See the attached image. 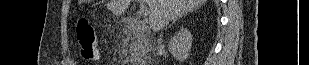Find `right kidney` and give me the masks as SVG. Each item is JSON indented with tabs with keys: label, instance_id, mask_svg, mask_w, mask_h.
I'll return each mask as SVG.
<instances>
[{
	"label": "right kidney",
	"instance_id": "ca27d5eb",
	"mask_svg": "<svg viewBox=\"0 0 309 65\" xmlns=\"http://www.w3.org/2000/svg\"><path fill=\"white\" fill-rule=\"evenodd\" d=\"M192 35L187 28H181L168 43L169 52L179 62H184L191 51Z\"/></svg>",
	"mask_w": 309,
	"mask_h": 65
}]
</instances>
